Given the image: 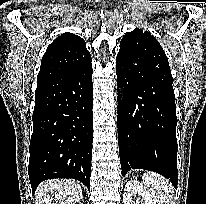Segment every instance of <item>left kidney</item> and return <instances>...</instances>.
<instances>
[{
  "label": "left kidney",
  "mask_w": 206,
  "mask_h": 204,
  "mask_svg": "<svg viewBox=\"0 0 206 204\" xmlns=\"http://www.w3.org/2000/svg\"><path fill=\"white\" fill-rule=\"evenodd\" d=\"M136 194L140 197L141 204H156L150 192L137 180L126 183L123 193L124 204H135L133 196Z\"/></svg>",
  "instance_id": "1"
}]
</instances>
